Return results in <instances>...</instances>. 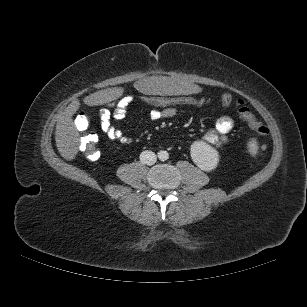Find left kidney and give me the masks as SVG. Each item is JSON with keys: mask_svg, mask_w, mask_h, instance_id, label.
I'll use <instances>...</instances> for the list:
<instances>
[{"mask_svg": "<svg viewBox=\"0 0 307 307\" xmlns=\"http://www.w3.org/2000/svg\"><path fill=\"white\" fill-rule=\"evenodd\" d=\"M193 162L203 171H212L219 163V153L202 140L194 141L190 148Z\"/></svg>", "mask_w": 307, "mask_h": 307, "instance_id": "1", "label": "left kidney"}]
</instances>
